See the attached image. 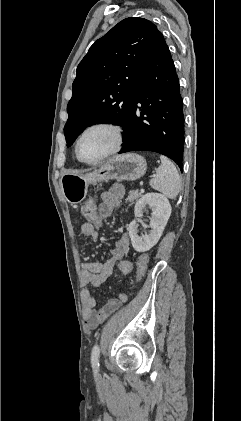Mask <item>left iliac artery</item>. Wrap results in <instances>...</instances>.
<instances>
[{"label": "left iliac artery", "instance_id": "44dca946", "mask_svg": "<svg viewBox=\"0 0 241 421\" xmlns=\"http://www.w3.org/2000/svg\"><path fill=\"white\" fill-rule=\"evenodd\" d=\"M100 348L98 344H95L91 352V363L95 370L99 368Z\"/></svg>", "mask_w": 241, "mask_h": 421}]
</instances>
